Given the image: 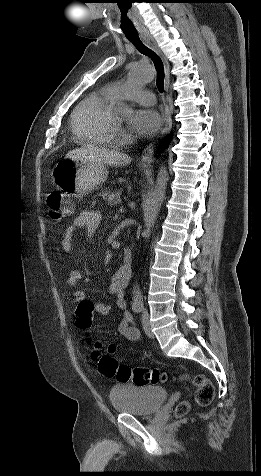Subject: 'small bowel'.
Listing matches in <instances>:
<instances>
[{
    "label": "small bowel",
    "mask_w": 261,
    "mask_h": 476,
    "mask_svg": "<svg viewBox=\"0 0 261 476\" xmlns=\"http://www.w3.org/2000/svg\"><path fill=\"white\" fill-rule=\"evenodd\" d=\"M101 215L95 211H83L68 225L63 234L61 248L64 252L72 250V240L79 229H85L88 235H91L99 226ZM82 278V273L78 269L70 271L66 283L70 287H76ZM130 275L120 267L112 276L109 284V292L115 298V306L122 312V319L118 324V332L124 338L138 342L141 339L139 330L134 326V319L130 313L126 311L127 302L125 298V288L128 284ZM73 300L77 303L87 301L82 291L73 293ZM95 310L103 315L108 316L112 311V306L107 303H96Z\"/></svg>",
    "instance_id": "obj_1"
}]
</instances>
